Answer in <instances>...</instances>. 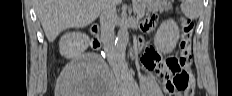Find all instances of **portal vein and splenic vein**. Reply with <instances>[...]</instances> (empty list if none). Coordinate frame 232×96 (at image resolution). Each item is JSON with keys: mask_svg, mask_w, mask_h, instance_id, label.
Segmentation results:
<instances>
[{"mask_svg": "<svg viewBox=\"0 0 232 96\" xmlns=\"http://www.w3.org/2000/svg\"><path fill=\"white\" fill-rule=\"evenodd\" d=\"M144 15V11H141L139 14H138V17H142Z\"/></svg>", "mask_w": 232, "mask_h": 96, "instance_id": "1", "label": "portal vein and splenic vein"}]
</instances>
